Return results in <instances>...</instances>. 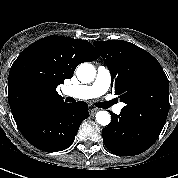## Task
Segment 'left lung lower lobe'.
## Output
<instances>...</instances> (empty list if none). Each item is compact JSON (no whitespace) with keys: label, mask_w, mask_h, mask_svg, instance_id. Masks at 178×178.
Wrapping results in <instances>:
<instances>
[{"label":"left lung lower lobe","mask_w":178,"mask_h":178,"mask_svg":"<svg viewBox=\"0 0 178 178\" xmlns=\"http://www.w3.org/2000/svg\"><path fill=\"white\" fill-rule=\"evenodd\" d=\"M111 117V123L103 128L102 136L105 146L116 155L133 156L144 152L162 131L123 113L116 115L111 112Z\"/></svg>","instance_id":"0a47b994"}]
</instances>
